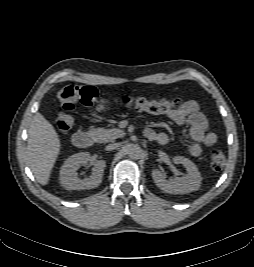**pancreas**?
I'll return each mask as SVG.
<instances>
[{"label":"pancreas","instance_id":"1","mask_svg":"<svg viewBox=\"0 0 254 267\" xmlns=\"http://www.w3.org/2000/svg\"><path fill=\"white\" fill-rule=\"evenodd\" d=\"M92 135L95 137V139L100 143H107L110 141H113L120 136L123 135V132L120 129L112 128V129H104V128H98V129H92L91 130Z\"/></svg>","mask_w":254,"mask_h":267}]
</instances>
